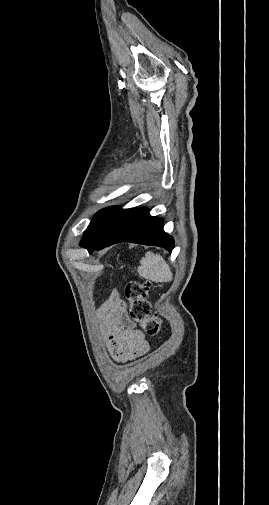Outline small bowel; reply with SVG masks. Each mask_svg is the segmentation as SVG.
<instances>
[{
  "mask_svg": "<svg viewBox=\"0 0 269 505\" xmlns=\"http://www.w3.org/2000/svg\"><path fill=\"white\" fill-rule=\"evenodd\" d=\"M98 318L109 351L116 361L127 362L148 351L149 343L144 333L135 328L117 292H112L99 308Z\"/></svg>",
  "mask_w": 269,
  "mask_h": 505,
  "instance_id": "1",
  "label": "small bowel"
}]
</instances>
